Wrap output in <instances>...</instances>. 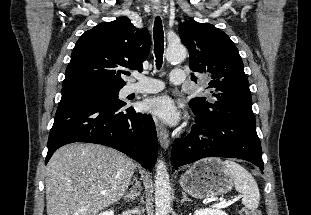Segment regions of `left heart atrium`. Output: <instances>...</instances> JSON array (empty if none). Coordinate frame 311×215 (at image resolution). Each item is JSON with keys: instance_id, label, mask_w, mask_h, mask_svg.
Returning <instances> with one entry per match:
<instances>
[{"instance_id": "left-heart-atrium-1", "label": "left heart atrium", "mask_w": 311, "mask_h": 215, "mask_svg": "<svg viewBox=\"0 0 311 215\" xmlns=\"http://www.w3.org/2000/svg\"><path fill=\"white\" fill-rule=\"evenodd\" d=\"M143 110L167 124L174 125L180 119V107L169 96H158L147 100Z\"/></svg>"}]
</instances>
